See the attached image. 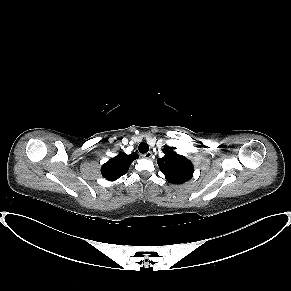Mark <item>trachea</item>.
Masks as SVG:
<instances>
[{"instance_id":"trachea-1","label":"trachea","mask_w":291,"mask_h":291,"mask_svg":"<svg viewBox=\"0 0 291 291\" xmlns=\"http://www.w3.org/2000/svg\"><path fill=\"white\" fill-rule=\"evenodd\" d=\"M138 150L142 154L147 153L148 150H149V146H148L147 143L141 142L140 145H139V147H138Z\"/></svg>"}]
</instances>
